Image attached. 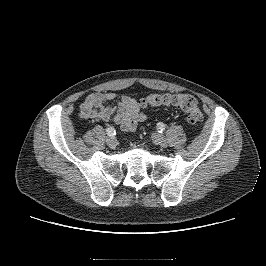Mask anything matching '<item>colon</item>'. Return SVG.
<instances>
[{"label":"colon","mask_w":266,"mask_h":266,"mask_svg":"<svg viewBox=\"0 0 266 266\" xmlns=\"http://www.w3.org/2000/svg\"><path fill=\"white\" fill-rule=\"evenodd\" d=\"M141 107H158L163 105L175 106L181 109L187 116L191 125H198L203 120L202 112L198 106L197 99L189 94H159L151 93L142 97L139 101Z\"/></svg>","instance_id":"colon-1"}]
</instances>
